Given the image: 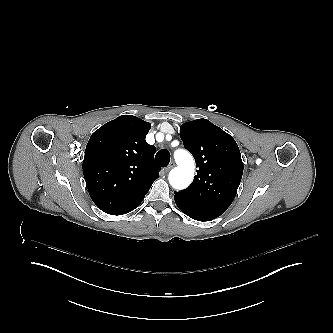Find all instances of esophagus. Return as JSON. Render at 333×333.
<instances>
[{"label":"esophagus","mask_w":333,"mask_h":333,"mask_svg":"<svg viewBox=\"0 0 333 333\" xmlns=\"http://www.w3.org/2000/svg\"><path fill=\"white\" fill-rule=\"evenodd\" d=\"M175 166L174 162H170V164L165 168V172L168 173Z\"/></svg>","instance_id":"obj_1"}]
</instances>
